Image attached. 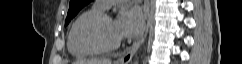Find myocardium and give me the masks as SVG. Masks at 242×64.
Instances as JSON below:
<instances>
[{"label": "myocardium", "mask_w": 242, "mask_h": 64, "mask_svg": "<svg viewBox=\"0 0 242 64\" xmlns=\"http://www.w3.org/2000/svg\"><path fill=\"white\" fill-rule=\"evenodd\" d=\"M110 16L106 13H101L89 17L78 30V39L80 43L87 49L95 53H109L116 50L120 46V39L112 44H105L100 41L97 36V31L103 21Z\"/></svg>", "instance_id": "myocardium-1"}]
</instances>
